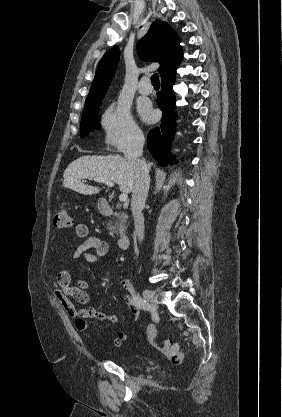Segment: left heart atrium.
Here are the masks:
<instances>
[{"label": "left heart atrium", "mask_w": 282, "mask_h": 417, "mask_svg": "<svg viewBox=\"0 0 282 417\" xmlns=\"http://www.w3.org/2000/svg\"><path fill=\"white\" fill-rule=\"evenodd\" d=\"M141 114H142V116H143L144 118H146V119H150V117H151V113H150V111H149V110H147V109H142V110H141Z\"/></svg>", "instance_id": "left-heart-atrium-1"}]
</instances>
